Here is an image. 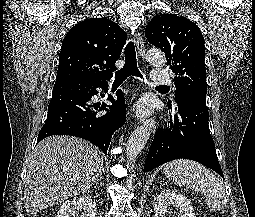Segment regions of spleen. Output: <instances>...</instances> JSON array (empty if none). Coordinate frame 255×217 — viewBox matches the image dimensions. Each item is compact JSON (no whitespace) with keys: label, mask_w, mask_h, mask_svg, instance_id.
Listing matches in <instances>:
<instances>
[{"label":"spleen","mask_w":255,"mask_h":217,"mask_svg":"<svg viewBox=\"0 0 255 217\" xmlns=\"http://www.w3.org/2000/svg\"><path fill=\"white\" fill-rule=\"evenodd\" d=\"M163 169L173 183L201 192L210 210L217 211L226 206L223 182L205 166L191 160L179 159L165 164Z\"/></svg>","instance_id":"1"}]
</instances>
